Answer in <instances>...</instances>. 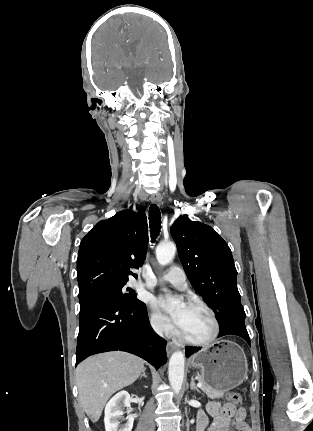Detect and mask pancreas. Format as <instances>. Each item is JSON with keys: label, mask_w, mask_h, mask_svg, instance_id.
<instances>
[{"label": "pancreas", "mask_w": 313, "mask_h": 431, "mask_svg": "<svg viewBox=\"0 0 313 431\" xmlns=\"http://www.w3.org/2000/svg\"><path fill=\"white\" fill-rule=\"evenodd\" d=\"M199 381L202 383L203 386L201 387V389L207 395V397L211 399H219L224 396V391L215 390L210 386L206 385L205 383H203L201 377H199Z\"/></svg>", "instance_id": "1"}]
</instances>
